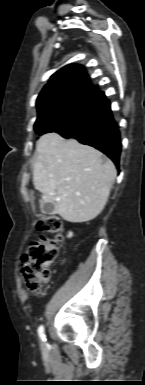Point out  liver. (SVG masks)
Here are the masks:
<instances>
[{"label":"liver","mask_w":145,"mask_h":385,"mask_svg":"<svg viewBox=\"0 0 145 385\" xmlns=\"http://www.w3.org/2000/svg\"><path fill=\"white\" fill-rule=\"evenodd\" d=\"M116 174L109 158L76 139L49 132L37 141L33 185L42 193L40 203H52L55 213L68 222L97 217L107 203Z\"/></svg>","instance_id":"liver-1"}]
</instances>
